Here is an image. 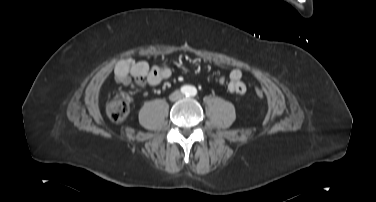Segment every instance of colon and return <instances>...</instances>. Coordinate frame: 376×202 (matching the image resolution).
Masks as SVG:
<instances>
[{
    "mask_svg": "<svg viewBox=\"0 0 376 202\" xmlns=\"http://www.w3.org/2000/svg\"><path fill=\"white\" fill-rule=\"evenodd\" d=\"M255 93L259 98L264 96L262 89H256ZM131 100L132 98L129 94L122 92L109 102L106 111L109 119L113 123L120 124L126 119L129 113Z\"/></svg>",
    "mask_w": 376,
    "mask_h": 202,
    "instance_id": "1",
    "label": "colon"
}]
</instances>
